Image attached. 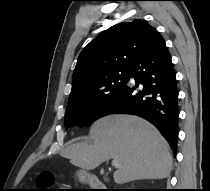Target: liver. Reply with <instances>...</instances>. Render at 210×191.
Instances as JSON below:
<instances>
[{"label":"liver","instance_id":"liver-1","mask_svg":"<svg viewBox=\"0 0 210 191\" xmlns=\"http://www.w3.org/2000/svg\"><path fill=\"white\" fill-rule=\"evenodd\" d=\"M92 143H74L61 156L85 170H93L109 159L119 167L114 181L166 178L172 167L170 147L148 121L132 115H110L97 120L90 129Z\"/></svg>","mask_w":210,"mask_h":191}]
</instances>
